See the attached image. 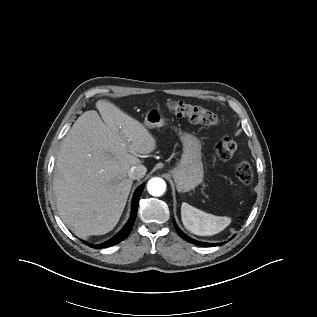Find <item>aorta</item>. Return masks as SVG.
<instances>
[{
	"label": "aorta",
	"instance_id": "aorta-1",
	"mask_svg": "<svg viewBox=\"0 0 317 317\" xmlns=\"http://www.w3.org/2000/svg\"><path fill=\"white\" fill-rule=\"evenodd\" d=\"M147 190L152 196L159 197L165 193L166 183L163 179L154 177L149 180Z\"/></svg>",
	"mask_w": 317,
	"mask_h": 317
}]
</instances>
